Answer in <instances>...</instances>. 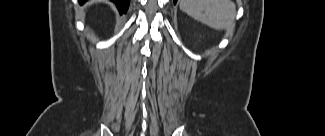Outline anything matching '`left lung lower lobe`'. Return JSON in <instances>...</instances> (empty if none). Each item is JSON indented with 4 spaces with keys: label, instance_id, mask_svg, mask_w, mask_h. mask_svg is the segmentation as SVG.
I'll return each mask as SVG.
<instances>
[{
    "label": "left lung lower lobe",
    "instance_id": "0a47b994",
    "mask_svg": "<svg viewBox=\"0 0 325 136\" xmlns=\"http://www.w3.org/2000/svg\"><path fill=\"white\" fill-rule=\"evenodd\" d=\"M177 2V0H174V4Z\"/></svg>",
    "mask_w": 325,
    "mask_h": 136
}]
</instances>
